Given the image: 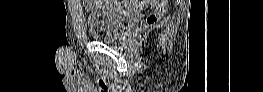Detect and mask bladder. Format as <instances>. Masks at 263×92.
<instances>
[{"label":"bladder","mask_w":263,"mask_h":92,"mask_svg":"<svg viewBox=\"0 0 263 92\" xmlns=\"http://www.w3.org/2000/svg\"><path fill=\"white\" fill-rule=\"evenodd\" d=\"M111 3L112 1H103L88 16L89 33L94 40L116 43L135 23V9L116 8Z\"/></svg>","instance_id":"obj_1"}]
</instances>
